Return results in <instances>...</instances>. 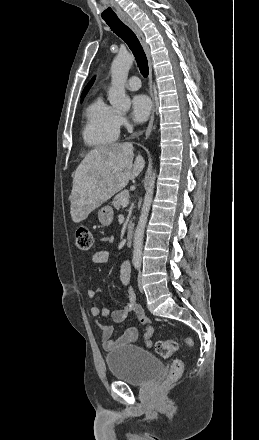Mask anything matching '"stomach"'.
Listing matches in <instances>:
<instances>
[{
	"label": "stomach",
	"mask_w": 259,
	"mask_h": 440,
	"mask_svg": "<svg viewBox=\"0 0 259 440\" xmlns=\"http://www.w3.org/2000/svg\"><path fill=\"white\" fill-rule=\"evenodd\" d=\"M114 217V212L112 207L110 206H104L98 211V219L99 222L103 226H108L112 223Z\"/></svg>",
	"instance_id": "obj_1"
}]
</instances>
